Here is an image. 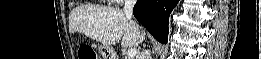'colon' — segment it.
<instances>
[{
    "label": "colon",
    "instance_id": "1",
    "mask_svg": "<svg viewBox=\"0 0 261 59\" xmlns=\"http://www.w3.org/2000/svg\"><path fill=\"white\" fill-rule=\"evenodd\" d=\"M80 59H97L96 53L92 48L83 47L79 51Z\"/></svg>",
    "mask_w": 261,
    "mask_h": 59
}]
</instances>
